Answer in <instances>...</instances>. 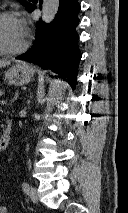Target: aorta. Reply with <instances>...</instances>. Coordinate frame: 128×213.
<instances>
[{
  "label": "aorta",
  "instance_id": "obj_1",
  "mask_svg": "<svg viewBox=\"0 0 128 213\" xmlns=\"http://www.w3.org/2000/svg\"><path fill=\"white\" fill-rule=\"evenodd\" d=\"M60 0H43L42 5V20L45 23H50L54 20L58 9Z\"/></svg>",
  "mask_w": 128,
  "mask_h": 213
}]
</instances>
